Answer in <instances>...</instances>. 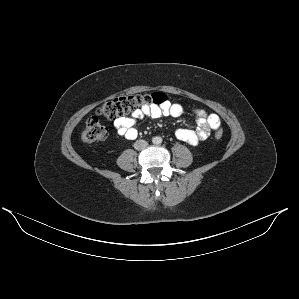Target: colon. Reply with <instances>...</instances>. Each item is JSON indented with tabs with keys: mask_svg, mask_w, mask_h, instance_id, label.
Returning a JSON list of instances; mask_svg holds the SVG:
<instances>
[{
	"mask_svg": "<svg viewBox=\"0 0 299 299\" xmlns=\"http://www.w3.org/2000/svg\"><path fill=\"white\" fill-rule=\"evenodd\" d=\"M166 97L162 93L137 94L114 98L104 102L98 109L97 114L105 119H115L128 113L150 106H161ZM107 129L97 117H90L81 132V139L85 143L98 142L105 139ZM215 137L221 139L223 132L216 130Z\"/></svg>",
	"mask_w": 299,
	"mask_h": 299,
	"instance_id": "1",
	"label": "colon"
}]
</instances>
